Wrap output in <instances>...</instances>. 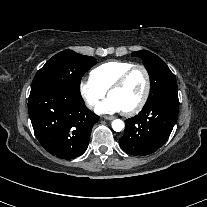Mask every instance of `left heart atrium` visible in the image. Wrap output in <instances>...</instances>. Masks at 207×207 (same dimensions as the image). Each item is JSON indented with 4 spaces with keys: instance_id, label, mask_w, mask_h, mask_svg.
Wrapping results in <instances>:
<instances>
[{
    "instance_id": "left-heart-atrium-1",
    "label": "left heart atrium",
    "mask_w": 207,
    "mask_h": 207,
    "mask_svg": "<svg viewBox=\"0 0 207 207\" xmlns=\"http://www.w3.org/2000/svg\"><path fill=\"white\" fill-rule=\"evenodd\" d=\"M95 111L98 114H114L124 110L118 101L109 95L96 105Z\"/></svg>"
}]
</instances>
